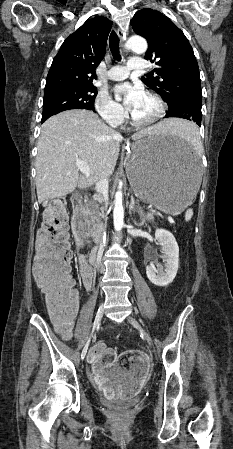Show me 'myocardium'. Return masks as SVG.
Listing matches in <instances>:
<instances>
[{
    "instance_id": "obj_1",
    "label": "myocardium",
    "mask_w": 233,
    "mask_h": 449,
    "mask_svg": "<svg viewBox=\"0 0 233 449\" xmlns=\"http://www.w3.org/2000/svg\"><path fill=\"white\" fill-rule=\"evenodd\" d=\"M145 95L154 100V102L157 104L158 110L152 118L144 121L137 119L133 114H131L132 123L138 127H147L157 123L163 117L166 111V104L159 95L153 92H146Z\"/></svg>"
}]
</instances>
